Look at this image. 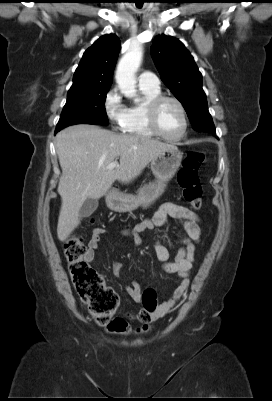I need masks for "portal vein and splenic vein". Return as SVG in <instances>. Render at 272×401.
Returning a JSON list of instances; mask_svg holds the SVG:
<instances>
[{
  "instance_id": "portal-vein-and-splenic-vein-1",
  "label": "portal vein and splenic vein",
  "mask_w": 272,
  "mask_h": 401,
  "mask_svg": "<svg viewBox=\"0 0 272 401\" xmlns=\"http://www.w3.org/2000/svg\"><path fill=\"white\" fill-rule=\"evenodd\" d=\"M116 167H118V163H117L116 161H114V162H111V163L106 167V169H107V170H113V169L116 168Z\"/></svg>"
}]
</instances>
